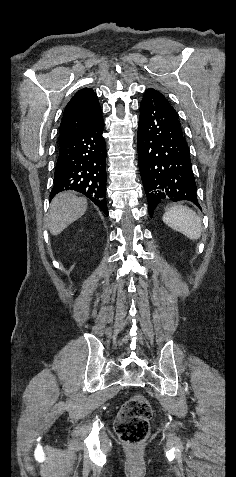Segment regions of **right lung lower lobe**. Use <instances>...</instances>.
Returning <instances> with one entry per match:
<instances>
[{
	"instance_id": "obj_1",
	"label": "right lung lower lobe",
	"mask_w": 236,
	"mask_h": 477,
	"mask_svg": "<svg viewBox=\"0 0 236 477\" xmlns=\"http://www.w3.org/2000/svg\"><path fill=\"white\" fill-rule=\"evenodd\" d=\"M100 116L71 140L59 145L52 199L64 190L80 192L108 215L106 205V144Z\"/></svg>"
}]
</instances>
